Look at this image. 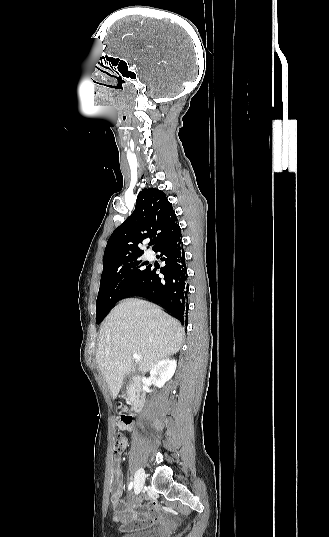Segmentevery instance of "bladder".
I'll list each match as a JSON object with an SVG mask.
<instances>
[{"mask_svg":"<svg viewBox=\"0 0 329 537\" xmlns=\"http://www.w3.org/2000/svg\"><path fill=\"white\" fill-rule=\"evenodd\" d=\"M121 537H153L151 530H135L123 534Z\"/></svg>","mask_w":329,"mask_h":537,"instance_id":"31cf9c89","label":"bladder"}]
</instances>
